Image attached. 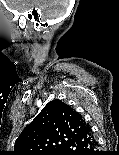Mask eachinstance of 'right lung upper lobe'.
<instances>
[{
	"mask_svg": "<svg viewBox=\"0 0 119 155\" xmlns=\"http://www.w3.org/2000/svg\"><path fill=\"white\" fill-rule=\"evenodd\" d=\"M88 128L78 112L55 99L24 128L11 155H58L68 142Z\"/></svg>",
	"mask_w": 119,
	"mask_h": 155,
	"instance_id": "right-lung-upper-lobe-1",
	"label": "right lung upper lobe"
}]
</instances>
